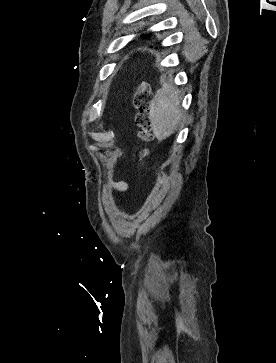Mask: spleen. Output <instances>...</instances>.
<instances>
[{"label": "spleen", "instance_id": "1", "mask_svg": "<svg viewBox=\"0 0 276 363\" xmlns=\"http://www.w3.org/2000/svg\"><path fill=\"white\" fill-rule=\"evenodd\" d=\"M161 88L156 92L149 118L155 137L162 141L175 133L181 118L179 91L168 83L166 75L160 77Z\"/></svg>", "mask_w": 276, "mask_h": 363}]
</instances>
